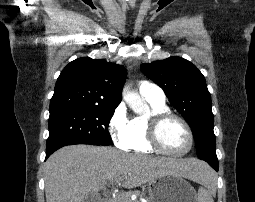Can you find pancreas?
I'll use <instances>...</instances> for the list:
<instances>
[{
    "instance_id": "1",
    "label": "pancreas",
    "mask_w": 255,
    "mask_h": 202,
    "mask_svg": "<svg viewBox=\"0 0 255 202\" xmlns=\"http://www.w3.org/2000/svg\"><path fill=\"white\" fill-rule=\"evenodd\" d=\"M133 194L144 195V193H142L140 191H130V192L121 193V194L116 195V197H114L110 202H132L131 196ZM146 202H149V201H146Z\"/></svg>"
}]
</instances>
